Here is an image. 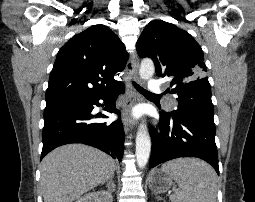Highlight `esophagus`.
I'll return each instance as SVG.
<instances>
[{
    "label": "esophagus",
    "instance_id": "obj_1",
    "mask_svg": "<svg viewBox=\"0 0 255 202\" xmlns=\"http://www.w3.org/2000/svg\"><path fill=\"white\" fill-rule=\"evenodd\" d=\"M138 58L137 54L134 52L127 62L126 69L129 75V78L133 81L138 80ZM128 90L130 92L129 99L125 104V108L122 114V121L126 131L132 130L135 127V121L131 116V107L138 101V97L131 83L127 85Z\"/></svg>",
    "mask_w": 255,
    "mask_h": 202
}]
</instances>
